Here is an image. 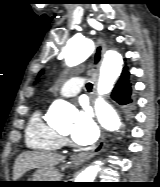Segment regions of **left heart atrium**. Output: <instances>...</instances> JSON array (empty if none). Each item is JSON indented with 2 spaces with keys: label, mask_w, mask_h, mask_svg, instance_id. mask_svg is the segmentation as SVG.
<instances>
[{
  "label": "left heart atrium",
  "mask_w": 160,
  "mask_h": 187,
  "mask_svg": "<svg viewBox=\"0 0 160 187\" xmlns=\"http://www.w3.org/2000/svg\"><path fill=\"white\" fill-rule=\"evenodd\" d=\"M99 136V129L88 108L78 112L71 132L72 140L79 145H91Z\"/></svg>",
  "instance_id": "obj_1"
}]
</instances>
